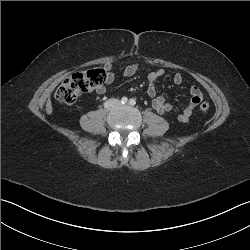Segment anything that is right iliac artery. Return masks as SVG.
<instances>
[{"label":"right iliac artery","mask_w":250,"mask_h":250,"mask_svg":"<svg viewBox=\"0 0 250 250\" xmlns=\"http://www.w3.org/2000/svg\"><path fill=\"white\" fill-rule=\"evenodd\" d=\"M127 102H128L127 97H123V98L121 99V103H122V104H126Z\"/></svg>","instance_id":"1"}]
</instances>
